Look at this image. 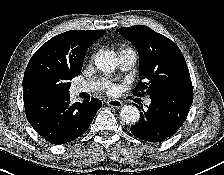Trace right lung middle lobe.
I'll return each instance as SVG.
<instances>
[{
	"label": "right lung middle lobe",
	"instance_id": "obj_1",
	"mask_svg": "<svg viewBox=\"0 0 224 175\" xmlns=\"http://www.w3.org/2000/svg\"><path fill=\"white\" fill-rule=\"evenodd\" d=\"M69 80L57 81V80H49L44 86L42 93H69L70 83Z\"/></svg>",
	"mask_w": 224,
	"mask_h": 175
}]
</instances>
